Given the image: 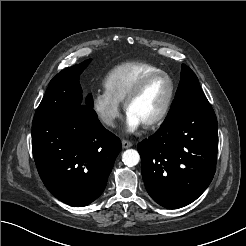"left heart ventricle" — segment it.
<instances>
[{
    "label": "left heart ventricle",
    "mask_w": 246,
    "mask_h": 246,
    "mask_svg": "<svg viewBox=\"0 0 246 246\" xmlns=\"http://www.w3.org/2000/svg\"><path fill=\"white\" fill-rule=\"evenodd\" d=\"M170 91L167 78L160 76L152 80L138 98L130 105L128 113L141 124L154 119L163 109Z\"/></svg>",
    "instance_id": "1"
}]
</instances>
